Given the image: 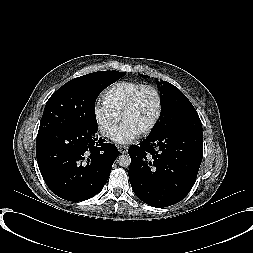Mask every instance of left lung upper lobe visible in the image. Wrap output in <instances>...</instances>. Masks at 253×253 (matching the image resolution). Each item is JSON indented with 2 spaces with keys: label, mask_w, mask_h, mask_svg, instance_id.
<instances>
[{
  "label": "left lung upper lobe",
  "mask_w": 253,
  "mask_h": 253,
  "mask_svg": "<svg viewBox=\"0 0 253 253\" xmlns=\"http://www.w3.org/2000/svg\"><path fill=\"white\" fill-rule=\"evenodd\" d=\"M141 77L149 76L141 75ZM157 87L160 90L161 115L149 136L179 129L202 131V124L195 108L177 87L166 81L157 82Z\"/></svg>",
  "instance_id": "1"
}]
</instances>
